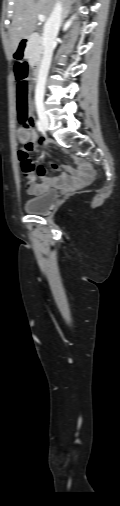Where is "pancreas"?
I'll use <instances>...</instances> for the list:
<instances>
[{"label": "pancreas", "instance_id": "1", "mask_svg": "<svg viewBox=\"0 0 120 506\" xmlns=\"http://www.w3.org/2000/svg\"><path fill=\"white\" fill-rule=\"evenodd\" d=\"M43 54L42 38L36 34H33L28 42L25 57L30 63L38 62Z\"/></svg>", "mask_w": 120, "mask_h": 506}]
</instances>
